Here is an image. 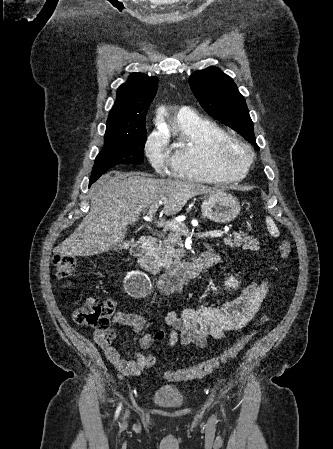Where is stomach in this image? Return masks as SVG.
Returning a JSON list of instances; mask_svg holds the SVG:
<instances>
[{
	"instance_id": "0dacf381",
	"label": "stomach",
	"mask_w": 333,
	"mask_h": 449,
	"mask_svg": "<svg viewBox=\"0 0 333 449\" xmlns=\"http://www.w3.org/2000/svg\"><path fill=\"white\" fill-rule=\"evenodd\" d=\"M202 215L218 223H229L240 213V203L231 194L222 190L210 193L203 201Z\"/></svg>"
}]
</instances>
